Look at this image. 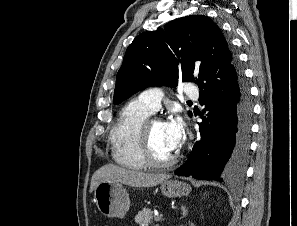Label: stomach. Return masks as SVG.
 <instances>
[{
	"instance_id": "0dacf381",
	"label": "stomach",
	"mask_w": 297,
	"mask_h": 226,
	"mask_svg": "<svg viewBox=\"0 0 297 226\" xmlns=\"http://www.w3.org/2000/svg\"><path fill=\"white\" fill-rule=\"evenodd\" d=\"M161 192L166 197L188 195L191 187L181 181L166 179L161 183ZM94 200L99 211L107 217L123 218L130 207L128 193L117 181L100 182L94 190Z\"/></svg>"
}]
</instances>
